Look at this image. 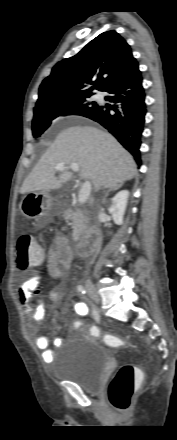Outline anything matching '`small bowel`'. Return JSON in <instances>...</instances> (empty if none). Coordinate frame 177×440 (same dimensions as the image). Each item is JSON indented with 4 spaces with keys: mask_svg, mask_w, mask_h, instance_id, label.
<instances>
[{
    "mask_svg": "<svg viewBox=\"0 0 177 440\" xmlns=\"http://www.w3.org/2000/svg\"><path fill=\"white\" fill-rule=\"evenodd\" d=\"M73 259V253L69 245L68 239L59 235L56 237L54 243L49 247L47 252V267L49 274L53 279H60L65 271L70 267ZM40 284V277L38 275L32 276L23 281L16 289V296L21 304L22 310L29 318L30 325L34 326L45 317V306L43 301L38 298L35 307L32 308L30 299L33 291H35ZM61 298V291L59 288H53L49 292V299L52 302H57ZM74 310L77 316L82 317L87 315L88 307L84 302H75ZM55 346H61L64 343L62 337L54 338ZM36 347L42 351L43 358L46 362L53 360L54 352L49 347V338L45 335H38L35 338Z\"/></svg>",
    "mask_w": 177,
    "mask_h": 440,
    "instance_id": "obj_1",
    "label": "small bowel"
}]
</instances>
